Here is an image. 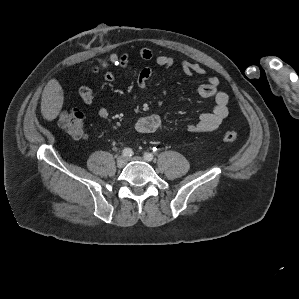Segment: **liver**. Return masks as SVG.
I'll return each instance as SVG.
<instances>
[{
    "label": "liver",
    "mask_w": 299,
    "mask_h": 299,
    "mask_svg": "<svg viewBox=\"0 0 299 299\" xmlns=\"http://www.w3.org/2000/svg\"><path fill=\"white\" fill-rule=\"evenodd\" d=\"M64 102V93L60 83L51 79L46 84L41 98V113L44 119L54 120L60 113Z\"/></svg>",
    "instance_id": "6515ba94"
}]
</instances>
